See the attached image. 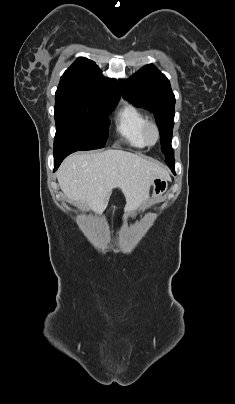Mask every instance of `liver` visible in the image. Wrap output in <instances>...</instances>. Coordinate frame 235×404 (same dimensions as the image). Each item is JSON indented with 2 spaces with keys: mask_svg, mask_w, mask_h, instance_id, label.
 <instances>
[{
  "mask_svg": "<svg viewBox=\"0 0 235 404\" xmlns=\"http://www.w3.org/2000/svg\"><path fill=\"white\" fill-rule=\"evenodd\" d=\"M155 178L170 180L158 164L123 150L80 153L69 156L57 171L61 190L69 200L102 214L112 190L125 196V212L143 205Z\"/></svg>",
  "mask_w": 235,
  "mask_h": 404,
  "instance_id": "6515ba94",
  "label": "liver"
}]
</instances>
